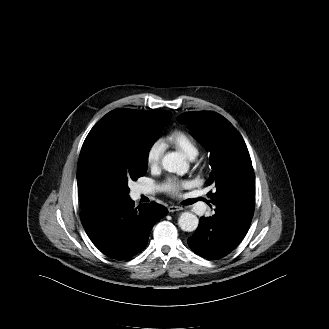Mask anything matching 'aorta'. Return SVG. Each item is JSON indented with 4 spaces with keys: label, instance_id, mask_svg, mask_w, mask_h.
I'll use <instances>...</instances> for the list:
<instances>
[{
    "label": "aorta",
    "instance_id": "obj_1",
    "mask_svg": "<svg viewBox=\"0 0 329 329\" xmlns=\"http://www.w3.org/2000/svg\"><path fill=\"white\" fill-rule=\"evenodd\" d=\"M162 166L166 171L177 173L178 175L185 174L189 168L184 155L180 152L167 153L162 159ZM198 224L197 216L190 212H183L178 219L179 227L186 232L195 231Z\"/></svg>",
    "mask_w": 329,
    "mask_h": 329
}]
</instances>
